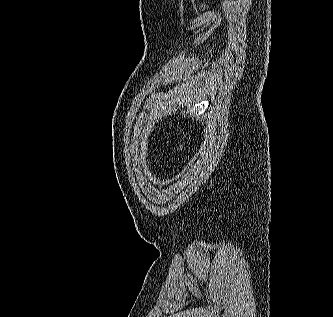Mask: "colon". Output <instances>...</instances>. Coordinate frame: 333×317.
<instances>
[{"instance_id": "1", "label": "colon", "mask_w": 333, "mask_h": 317, "mask_svg": "<svg viewBox=\"0 0 333 317\" xmlns=\"http://www.w3.org/2000/svg\"><path fill=\"white\" fill-rule=\"evenodd\" d=\"M183 148H184V143H183V142H181L180 144H178V146L174 149V152H173V154H172V159H173L175 156H177L178 154H180V153L182 152ZM171 166H172V162H170V163L166 166V169L171 168Z\"/></svg>"}]
</instances>
